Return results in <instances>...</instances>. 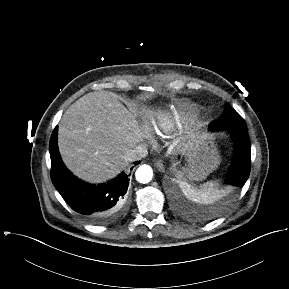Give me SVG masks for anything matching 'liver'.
<instances>
[{
	"instance_id": "1",
	"label": "liver",
	"mask_w": 289,
	"mask_h": 289,
	"mask_svg": "<svg viewBox=\"0 0 289 289\" xmlns=\"http://www.w3.org/2000/svg\"><path fill=\"white\" fill-rule=\"evenodd\" d=\"M150 110L127 109L118 95L94 91L73 103L58 127V148L66 167L80 179L103 183L129 166L125 156L151 132ZM141 116V124L137 117Z\"/></svg>"
}]
</instances>
